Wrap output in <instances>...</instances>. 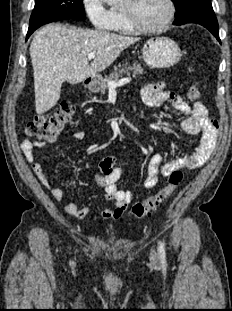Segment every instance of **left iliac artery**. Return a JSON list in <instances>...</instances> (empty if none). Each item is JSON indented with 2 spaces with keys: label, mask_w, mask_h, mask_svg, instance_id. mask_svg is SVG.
I'll use <instances>...</instances> for the list:
<instances>
[{
  "label": "left iliac artery",
  "mask_w": 232,
  "mask_h": 311,
  "mask_svg": "<svg viewBox=\"0 0 232 311\" xmlns=\"http://www.w3.org/2000/svg\"><path fill=\"white\" fill-rule=\"evenodd\" d=\"M158 253L161 260V263L166 264V253H165V245L162 241L158 243Z\"/></svg>",
  "instance_id": "1"
}]
</instances>
